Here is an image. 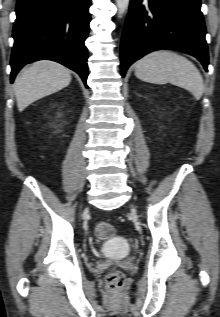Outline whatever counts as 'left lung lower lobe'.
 Instances as JSON below:
<instances>
[{"mask_svg":"<svg viewBox=\"0 0 220 317\" xmlns=\"http://www.w3.org/2000/svg\"><path fill=\"white\" fill-rule=\"evenodd\" d=\"M200 0H131L121 43V75L143 55L178 49L207 71L208 49Z\"/></svg>","mask_w":220,"mask_h":317,"instance_id":"0a47b994","label":"left lung lower lobe"}]
</instances>
